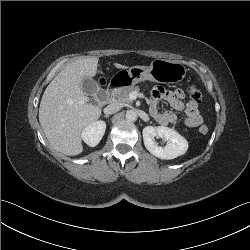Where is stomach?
Returning <instances> with one entry per match:
<instances>
[{"instance_id": "1", "label": "stomach", "mask_w": 250, "mask_h": 250, "mask_svg": "<svg viewBox=\"0 0 250 250\" xmlns=\"http://www.w3.org/2000/svg\"><path fill=\"white\" fill-rule=\"evenodd\" d=\"M186 73V67L179 62L155 59L150 66H133L128 70H121L114 78L121 86L135 85L145 80L173 84L181 82Z\"/></svg>"}]
</instances>
